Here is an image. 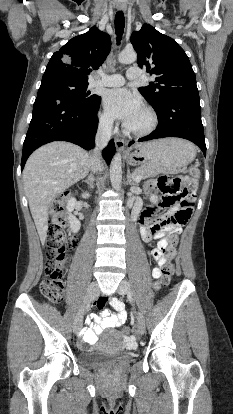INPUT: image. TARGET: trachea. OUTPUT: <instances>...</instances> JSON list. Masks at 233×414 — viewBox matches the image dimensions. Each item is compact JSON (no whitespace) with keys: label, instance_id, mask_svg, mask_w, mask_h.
<instances>
[{"label":"trachea","instance_id":"obj_1","mask_svg":"<svg viewBox=\"0 0 233 414\" xmlns=\"http://www.w3.org/2000/svg\"><path fill=\"white\" fill-rule=\"evenodd\" d=\"M124 26H125V18L122 11H118L115 15V32H116V40L117 44L120 43V40L122 39V35L124 32Z\"/></svg>","mask_w":233,"mask_h":414}]
</instances>
